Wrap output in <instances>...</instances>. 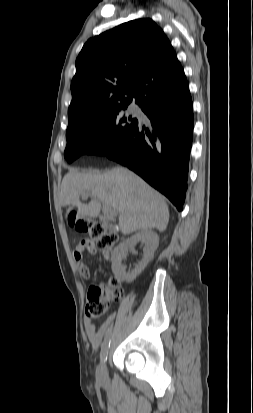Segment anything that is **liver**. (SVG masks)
<instances>
[{
	"mask_svg": "<svg viewBox=\"0 0 253 413\" xmlns=\"http://www.w3.org/2000/svg\"><path fill=\"white\" fill-rule=\"evenodd\" d=\"M86 193L92 196L89 204L80 202V196ZM60 203L76 205L77 219L98 217L103 203L119 214V227L124 235L152 228L163 232L169 222L163 196L123 167H114L103 174L70 170L62 180Z\"/></svg>",
	"mask_w": 253,
	"mask_h": 413,
	"instance_id": "6515ba94",
	"label": "liver"
}]
</instances>
